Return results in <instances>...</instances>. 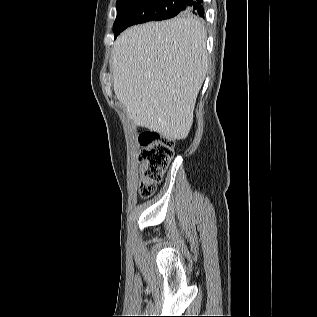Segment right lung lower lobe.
Segmentation results:
<instances>
[{"label":"right lung lower lobe","mask_w":317,"mask_h":317,"mask_svg":"<svg viewBox=\"0 0 317 317\" xmlns=\"http://www.w3.org/2000/svg\"><path fill=\"white\" fill-rule=\"evenodd\" d=\"M181 12L191 13L204 18L203 0H178Z\"/></svg>","instance_id":"98d812e1"}]
</instances>
